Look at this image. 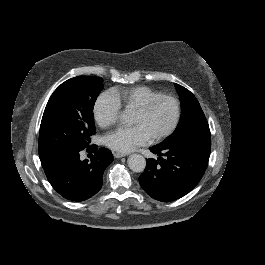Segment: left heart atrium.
Returning a JSON list of instances; mask_svg holds the SVG:
<instances>
[{
    "label": "left heart atrium",
    "instance_id": "39dd6f15",
    "mask_svg": "<svg viewBox=\"0 0 265 265\" xmlns=\"http://www.w3.org/2000/svg\"><path fill=\"white\" fill-rule=\"evenodd\" d=\"M151 140V135L141 124L134 127L120 126L105 136V143L110 149L123 153L133 151Z\"/></svg>",
    "mask_w": 265,
    "mask_h": 265
}]
</instances>
